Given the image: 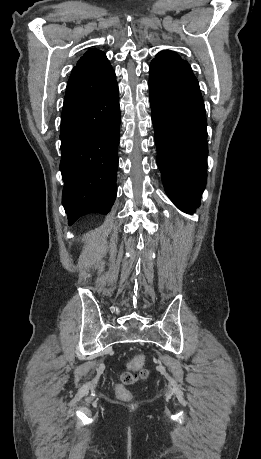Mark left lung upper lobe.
I'll return each instance as SVG.
<instances>
[{"instance_id":"left-lung-upper-lobe-1","label":"left lung upper lobe","mask_w":261,"mask_h":459,"mask_svg":"<svg viewBox=\"0 0 261 459\" xmlns=\"http://www.w3.org/2000/svg\"><path fill=\"white\" fill-rule=\"evenodd\" d=\"M153 63L162 64L165 66L176 67L191 71V67L188 62L182 60L173 51H162L156 55V58L152 60Z\"/></svg>"}]
</instances>
